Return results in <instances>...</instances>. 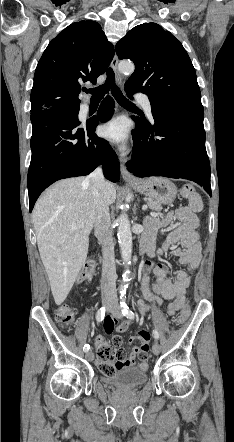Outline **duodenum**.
Instances as JSON below:
<instances>
[{
    "label": "duodenum",
    "mask_w": 234,
    "mask_h": 442,
    "mask_svg": "<svg viewBox=\"0 0 234 442\" xmlns=\"http://www.w3.org/2000/svg\"><path fill=\"white\" fill-rule=\"evenodd\" d=\"M150 247V241L147 237L143 236L140 240L139 244V252L140 254H145L148 252Z\"/></svg>",
    "instance_id": "410a0bca"
}]
</instances>
